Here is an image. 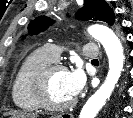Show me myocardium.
Segmentation results:
<instances>
[{
	"label": "myocardium",
	"instance_id": "myocardium-1",
	"mask_svg": "<svg viewBox=\"0 0 133 118\" xmlns=\"http://www.w3.org/2000/svg\"><path fill=\"white\" fill-rule=\"evenodd\" d=\"M57 69L67 71V68L61 63H51L38 74L35 79L34 93L41 108L51 112H64L71 109L76 100L72 99L64 104H55L50 100L49 80L52 73Z\"/></svg>",
	"mask_w": 133,
	"mask_h": 118
}]
</instances>
